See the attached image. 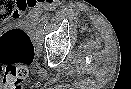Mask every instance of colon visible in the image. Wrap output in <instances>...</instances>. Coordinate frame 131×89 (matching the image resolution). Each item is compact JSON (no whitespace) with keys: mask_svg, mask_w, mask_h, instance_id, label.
I'll use <instances>...</instances> for the list:
<instances>
[{"mask_svg":"<svg viewBox=\"0 0 131 89\" xmlns=\"http://www.w3.org/2000/svg\"><path fill=\"white\" fill-rule=\"evenodd\" d=\"M35 4L28 1L0 0V23L14 18ZM34 59V46L28 34L11 30L0 37V78L10 89H18L28 75V66Z\"/></svg>","mask_w":131,"mask_h":89,"instance_id":"5ec220e1","label":"colon"}]
</instances>
